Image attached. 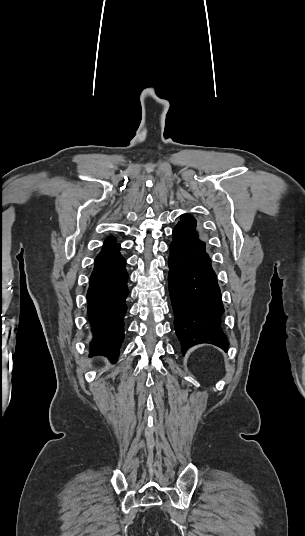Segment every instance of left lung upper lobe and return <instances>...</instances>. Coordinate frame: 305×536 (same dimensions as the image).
<instances>
[{
	"mask_svg": "<svg viewBox=\"0 0 305 536\" xmlns=\"http://www.w3.org/2000/svg\"><path fill=\"white\" fill-rule=\"evenodd\" d=\"M176 227L196 233V220L189 215L182 216Z\"/></svg>",
	"mask_w": 305,
	"mask_h": 536,
	"instance_id": "1",
	"label": "left lung upper lobe"
}]
</instances>
